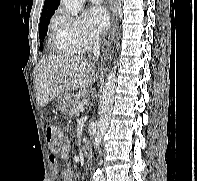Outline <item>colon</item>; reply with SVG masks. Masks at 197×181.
I'll list each match as a JSON object with an SVG mask.
<instances>
[{
  "instance_id": "colon-1",
  "label": "colon",
  "mask_w": 197,
  "mask_h": 181,
  "mask_svg": "<svg viewBox=\"0 0 197 181\" xmlns=\"http://www.w3.org/2000/svg\"><path fill=\"white\" fill-rule=\"evenodd\" d=\"M46 139L48 141L50 149L57 153L63 146V138L60 130L55 126H49L46 129Z\"/></svg>"
}]
</instances>
